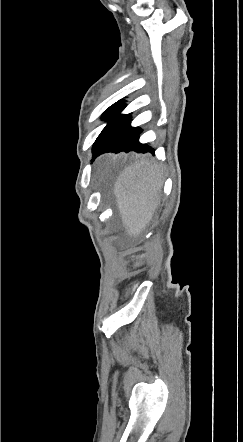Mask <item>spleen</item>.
Returning <instances> with one entry per match:
<instances>
[{"mask_svg": "<svg viewBox=\"0 0 243 442\" xmlns=\"http://www.w3.org/2000/svg\"><path fill=\"white\" fill-rule=\"evenodd\" d=\"M155 168L143 160L134 167L127 169L123 178H119L116 184L120 187L118 195L122 202L124 221L130 234H138L147 224L149 215L153 212V195L135 192H156L158 186L151 178Z\"/></svg>", "mask_w": 243, "mask_h": 442, "instance_id": "spleen-1", "label": "spleen"}]
</instances>
